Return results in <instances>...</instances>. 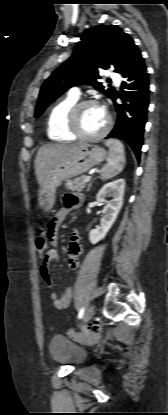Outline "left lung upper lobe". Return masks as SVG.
<instances>
[{"mask_svg": "<svg viewBox=\"0 0 168 415\" xmlns=\"http://www.w3.org/2000/svg\"><path fill=\"white\" fill-rule=\"evenodd\" d=\"M138 53L133 39L116 25H99L85 31L73 55L43 83L35 117L67 89L80 84L92 85L111 99L116 90H105L97 81L98 69L114 67L115 72L122 74Z\"/></svg>", "mask_w": 168, "mask_h": 415, "instance_id": "obj_1", "label": "left lung upper lobe"}]
</instances>
